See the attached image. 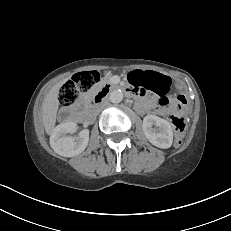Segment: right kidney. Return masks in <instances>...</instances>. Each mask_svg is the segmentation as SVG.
Here are the masks:
<instances>
[{
  "label": "right kidney",
  "mask_w": 231,
  "mask_h": 231,
  "mask_svg": "<svg viewBox=\"0 0 231 231\" xmlns=\"http://www.w3.org/2000/svg\"><path fill=\"white\" fill-rule=\"evenodd\" d=\"M75 122H64L57 125L50 136V146L59 155L73 157L82 153L89 141V131L82 130L77 137L67 136L76 131Z\"/></svg>",
  "instance_id": "1"
}]
</instances>
